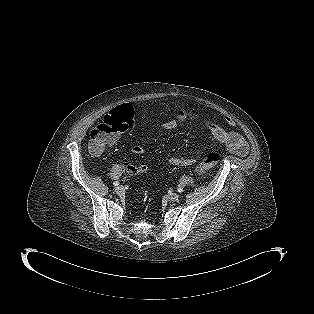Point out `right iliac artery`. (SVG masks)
I'll return each instance as SVG.
<instances>
[{"instance_id": "82829eb1", "label": "right iliac artery", "mask_w": 314, "mask_h": 314, "mask_svg": "<svg viewBox=\"0 0 314 314\" xmlns=\"http://www.w3.org/2000/svg\"><path fill=\"white\" fill-rule=\"evenodd\" d=\"M113 185H114V186H118V185H119V182H118V181H115V182L113 183Z\"/></svg>"}]
</instances>
